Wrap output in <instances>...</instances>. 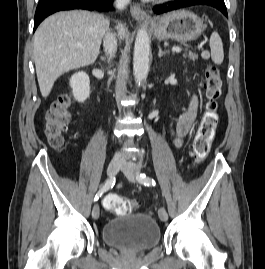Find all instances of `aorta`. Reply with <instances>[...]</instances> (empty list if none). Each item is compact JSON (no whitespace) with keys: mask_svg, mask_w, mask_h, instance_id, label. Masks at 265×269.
<instances>
[{"mask_svg":"<svg viewBox=\"0 0 265 269\" xmlns=\"http://www.w3.org/2000/svg\"><path fill=\"white\" fill-rule=\"evenodd\" d=\"M150 41L146 28L139 29L134 45L133 71L136 82L146 81L149 73Z\"/></svg>","mask_w":265,"mask_h":269,"instance_id":"aorta-1","label":"aorta"}]
</instances>
